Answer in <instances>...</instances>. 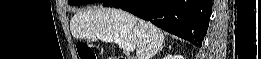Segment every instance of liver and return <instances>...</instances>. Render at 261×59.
<instances>
[{
    "label": "liver",
    "instance_id": "6515ba94",
    "mask_svg": "<svg viewBox=\"0 0 261 59\" xmlns=\"http://www.w3.org/2000/svg\"><path fill=\"white\" fill-rule=\"evenodd\" d=\"M72 36L96 41L112 36L136 48V59H152L162 48L165 36L159 28L116 8L93 7L77 12L70 21Z\"/></svg>",
    "mask_w": 261,
    "mask_h": 59
}]
</instances>
